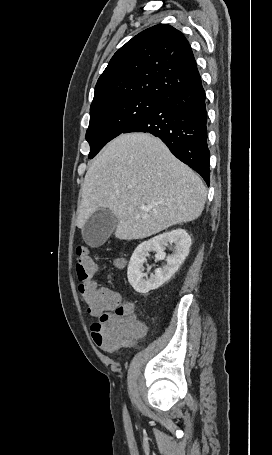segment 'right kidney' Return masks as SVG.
Instances as JSON below:
<instances>
[{"instance_id":"ca27d5eb","label":"right kidney","mask_w":272,"mask_h":455,"mask_svg":"<svg viewBox=\"0 0 272 455\" xmlns=\"http://www.w3.org/2000/svg\"><path fill=\"white\" fill-rule=\"evenodd\" d=\"M168 243L174 244L175 251L174 254L166 256L164 250ZM191 243L190 235L179 228L139 244L131 256L127 270L128 281L134 290L138 293L146 294L167 282L188 256ZM151 251L156 252V260L166 258L167 264L163 268L156 269L155 274L147 278L143 264L146 263V257Z\"/></svg>"}]
</instances>
